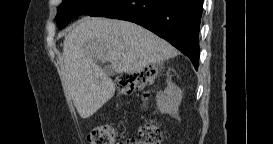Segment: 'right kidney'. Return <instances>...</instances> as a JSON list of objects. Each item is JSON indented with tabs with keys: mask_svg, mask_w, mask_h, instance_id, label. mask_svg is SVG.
I'll return each instance as SVG.
<instances>
[{
	"mask_svg": "<svg viewBox=\"0 0 273 144\" xmlns=\"http://www.w3.org/2000/svg\"><path fill=\"white\" fill-rule=\"evenodd\" d=\"M182 100L181 90L174 84H169L164 92L157 95V108L161 113H168L169 115L179 119L178 111Z\"/></svg>",
	"mask_w": 273,
	"mask_h": 144,
	"instance_id": "right-kidney-1",
	"label": "right kidney"
}]
</instances>
